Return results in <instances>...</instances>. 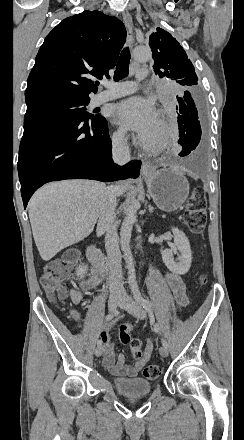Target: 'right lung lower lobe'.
Segmentation results:
<instances>
[{"instance_id": "right-lung-lower-lobe-1", "label": "right lung lower lobe", "mask_w": 244, "mask_h": 440, "mask_svg": "<svg viewBox=\"0 0 244 440\" xmlns=\"http://www.w3.org/2000/svg\"><path fill=\"white\" fill-rule=\"evenodd\" d=\"M111 149L108 123L102 116L85 119L52 108H28L17 164L24 208L47 182L137 178L141 162L117 166Z\"/></svg>"}]
</instances>
